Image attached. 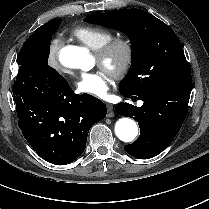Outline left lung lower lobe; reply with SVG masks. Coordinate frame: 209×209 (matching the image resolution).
I'll list each match as a JSON object with an SVG mask.
<instances>
[{"mask_svg": "<svg viewBox=\"0 0 209 209\" xmlns=\"http://www.w3.org/2000/svg\"><path fill=\"white\" fill-rule=\"evenodd\" d=\"M120 93L144 102L141 107L123 102L115 107L117 114L133 118L140 127V136L124 147L126 152L139 159L157 156L173 141L185 120L191 85L159 84L136 94Z\"/></svg>", "mask_w": 209, "mask_h": 209, "instance_id": "1", "label": "left lung lower lobe"}]
</instances>
